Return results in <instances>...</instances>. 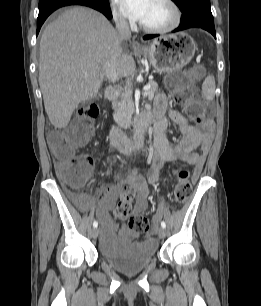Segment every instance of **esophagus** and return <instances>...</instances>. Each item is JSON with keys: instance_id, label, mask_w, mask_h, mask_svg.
Masks as SVG:
<instances>
[{"instance_id": "esophagus-1", "label": "esophagus", "mask_w": 261, "mask_h": 306, "mask_svg": "<svg viewBox=\"0 0 261 306\" xmlns=\"http://www.w3.org/2000/svg\"><path fill=\"white\" fill-rule=\"evenodd\" d=\"M133 46L135 48H140L141 47V44L139 43V41L135 37L133 38Z\"/></svg>"}]
</instances>
